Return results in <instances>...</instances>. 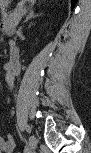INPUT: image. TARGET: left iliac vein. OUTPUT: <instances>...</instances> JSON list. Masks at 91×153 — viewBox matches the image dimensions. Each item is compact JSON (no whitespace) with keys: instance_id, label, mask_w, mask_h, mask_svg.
<instances>
[{"instance_id":"left-iliac-vein-1","label":"left iliac vein","mask_w":91,"mask_h":153,"mask_svg":"<svg viewBox=\"0 0 91 153\" xmlns=\"http://www.w3.org/2000/svg\"><path fill=\"white\" fill-rule=\"evenodd\" d=\"M30 149L35 150L37 148V139L34 135L29 137Z\"/></svg>"}]
</instances>
